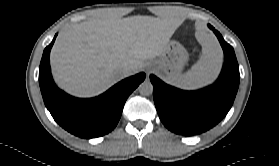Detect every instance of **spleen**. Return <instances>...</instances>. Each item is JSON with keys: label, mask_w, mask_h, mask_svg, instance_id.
<instances>
[{"label": "spleen", "mask_w": 279, "mask_h": 166, "mask_svg": "<svg viewBox=\"0 0 279 166\" xmlns=\"http://www.w3.org/2000/svg\"><path fill=\"white\" fill-rule=\"evenodd\" d=\"M202 54L189 71L177 75L171 82L182 89L193 90L212 83L222 67V52L216 40L207 33L197 35Z\"/></svg>", "instance_id": "3e777b00"}]
</instances>
